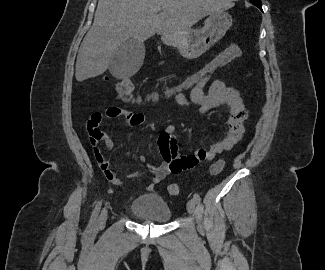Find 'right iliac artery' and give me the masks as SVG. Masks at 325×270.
Returning <instances> with one entry per match:
<instances>
[{
  "instance_id": "82829eb1",
  "label": "right iliac artery",
  "mask_w": 325,
  "mask_h": 270,
  "mask_svg": "<svg viewBox=\"0 0 325 270\" xmlns=\"http://www.w3.org/2000/svg\"><path fill=\"white\" fill-rule=\"evenodd\" d=\"M101 205H102V201L98 202V204L96 205V207H95V209H94V211L92 213V216H91V220H90L91 223L95 222V220H96V218H97V216H98V214L100 212Z\"/></svg>"
}]
</instances>
